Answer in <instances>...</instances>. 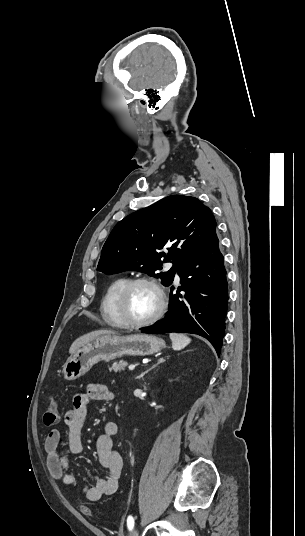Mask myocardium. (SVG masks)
<instances>
[{"instance_id":"myocardium-1","label":"myocardium","mask_w":305,"mask_h":536,"mask_svg":"<svg viewBox=\"0 0 305 536\" xmlns=\"http://www.w3.org/2000/svg\"><path fill=\"white\" fill-rule=\"evenodd\" d=\"M139 284H148L157 291L159 296V307L153 314L149 315L145 319L139 321H130L126 316L125 303L130 291ZM116 304L118 314L123 323L122 326L126 328H141L158 320L165 313V310L168 306V298L165 294L163 286L156 279L149 276H141L131 278L125 283L118 294Z\"/></svg>"}]
</instances>
